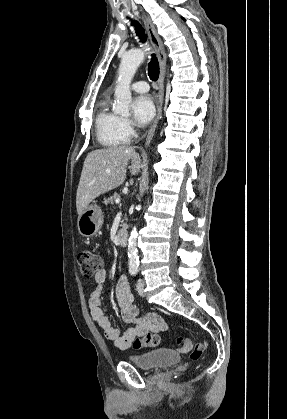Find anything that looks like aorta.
<instances>
[{
    "instance_id": "762f6f07",
    "label": "aorta",
    "mask_w": 287,
    "mask_h": 419,
    "mask_svg": "<svg viewBox=\"0 0 287 419\" xmlns=\"http://www.w3.org/2000/svg\"><path fill=\"white\" fill-rule=\"evenodd\" d=\"M144 58L145 52L142 49H134L123 55L115 87L116 103L113 107V111L116 114H120L122 116L129 115V108L132 100L130 84ZM137 238L138 232L136 227H134L128 239V262L129 270L131 271H137L139 267Z\"/></svg>"
}]
</instances>
